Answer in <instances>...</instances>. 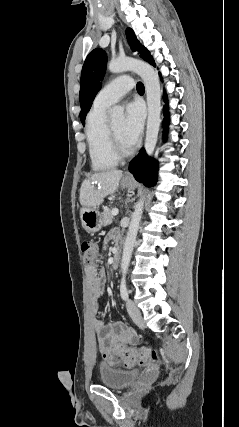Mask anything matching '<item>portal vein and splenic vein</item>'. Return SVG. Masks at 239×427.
Masks as SVG:
<instances>
[{"label": "portal vein and splenic vein", "instance_id": "18ae733b", "mask_svg": "<svg viewBox=\"0 0 239 427\" xmlns=\"http://www.w3.org/2000/svg\"><path fill=\"white\" fill-rule=\"evenodd\" d=\"M118 214V209L117 208H113L112 209V215L116 216Z\"/></svg>", "mask_w": 239, "mask_h": 427}]
</instances>
